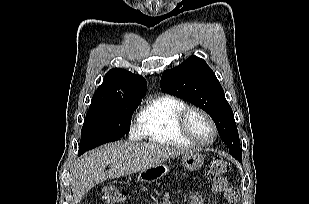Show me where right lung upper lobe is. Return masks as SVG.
Instances as JSON below:
<instances>
[{
    "label": "right lung upper lobe",
    "instance_id": "1",
    "mask_svg": "<svg viewBox=\"0 0 309 204\" xmlns=\"http://www.w3.org/2000/svg\"><path fill=\"white\" fill-rule=\"evenodd\" d=\"M146 89L144 77L120 68L111 69L94 93L91 105L119 99H141Z\"/></svg>",
    "mask_w": 309,
    "mask_h": 204
}]
</instances>
